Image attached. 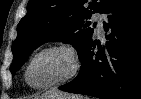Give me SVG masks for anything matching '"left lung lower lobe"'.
I'll list each match as a JSON object with an SVG mask.
<instances>
[{
	"label": "left lung lower lobe",
	"mask_w": 141,
	"mask_h": 99,
	"mask_svg": "<svg viewBox=\"0 0 141 99\" xmlns=\"http://www.w3.org/2000/svg\"><path fill=\"white\" fill-rule=\"evenodd\" d=\"M104 13L106 50L92 40L77 77L59 89L101 99H141V0H116Z\"/></svg>",
	"instance_id": "0a47b994"
}]
</instances>
